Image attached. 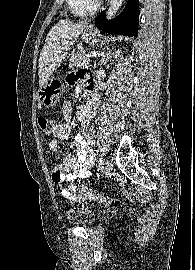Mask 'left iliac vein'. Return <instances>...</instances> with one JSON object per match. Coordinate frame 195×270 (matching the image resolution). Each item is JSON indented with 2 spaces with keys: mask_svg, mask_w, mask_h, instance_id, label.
<instances>
[{
  "mask_svg": "<svg viewBox=\"0 0 195 270\" xmlns=\"http://www.w3.org/2000/svg\"><path fill=\"white\" fill-rule=\"evenodd\" d=\"M113 165H112V161L107 159L104 163V166L102 167V174L104 177H107L110 175L111 171H112Z\"/></svg>",
  "mask_w": 195,
  "mask_h": 270,
  "instance_id": "left-iliac-vein-1",
  "label": "left iliac vein"
}]
</instances>
